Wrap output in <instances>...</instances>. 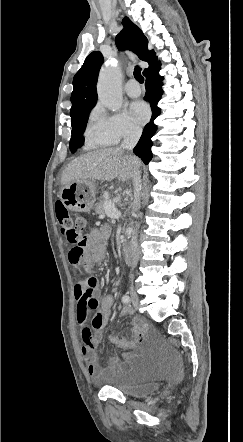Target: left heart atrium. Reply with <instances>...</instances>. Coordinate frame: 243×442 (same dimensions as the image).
Segmentation results:
<instances>
[{
  "label": "left heart atrium",
  "mask_w": 243,
  "mask_h": 442,
  "mask_svg": "<svg viewBox=\"0 0 243 442\" xmlns=\"http://www.w3.org/2000/svg\"><path fill=\"white\" fill-rule=\"evenodd\" d=\"M131 114L134 120L139 123H145L150 115V110L148 105L143 101H135L130 107Z\"/></svg>",
  "instance_id": "1"
}]
</instances>
